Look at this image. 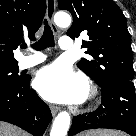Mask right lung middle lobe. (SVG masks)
Wrapping results in <instances>:
<instances>
[{"instance_id": "obj_1", "label": "right lung middle lobe", "mask_w": 136, "mask_h": 136, "mask_svg": "<svg viewBox=\"0 0 136 136\" xmlns=\"http://www.w3.org/2000/svg\"><path fill=\"white\" fill-rule=\"evenodd\" d=\"M18 63L0 64V87H11L17 84L23 76L18 75Z\"/></svg>"}]
</instances>
